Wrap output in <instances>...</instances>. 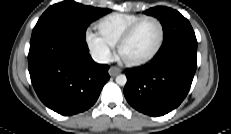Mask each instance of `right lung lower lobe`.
I'll return each mask as SVG.
<instances>
[{"instance_id": "1", "label": "right lung lower lobe", "mask_w": 231, "mask_h": 134, "mask_svg": "<svg viewBox=\"0 0 231 134\" xmlns=\"http://www.w3.org/2000/svg\"><path fill=\"white\" fill-rule=\"evenodd\" d=\"M84 38L48 30L31 39L28 66L40 100L61 115L89 109L109 80V66L95 63Z\"/></svg>"}]
</instances>
